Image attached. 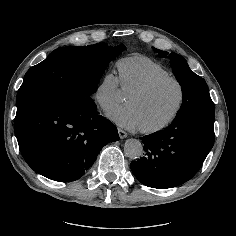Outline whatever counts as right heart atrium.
Segmentation results:
<instances>
[{
  "label": "right heart atrium",
  "mask_w": 236,
  "mask_h": 236,
  "mask_svg": "<svg viewBox=\"0 0 236 236\" xmlns=\"http://www.w3.org/2000/svg\"><path fill=\"white\" fill-rule=\"evenodd\" d=\"M122 92L120 77L112 71H106L95 86L92 97L103 111L109 112L121 102L119 95Z\"/></svg>",
  "instance_id": "right-heart-atrium-1"
}]
</instances>
